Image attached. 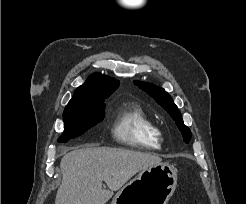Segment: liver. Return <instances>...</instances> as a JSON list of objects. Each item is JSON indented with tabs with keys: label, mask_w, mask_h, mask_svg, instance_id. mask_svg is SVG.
<instances>
[{
	"label": "liver",
	"mask_w": 246,
	"mask_h": 204,
	"mask_svg": "<svg viewBox=\"0 0 246 204\" xmlns=\"http://www.w3.org/2000/svg\"><path fill=\"white\" fill-rule=\"evenodd\" d=\"M160 163L155 154L128 149H74L61 160L55 204H105L136 173ZM102 181L109 189L102 188Z\"/></svg>",
	"instance_id": "1"
}]
</instances>
